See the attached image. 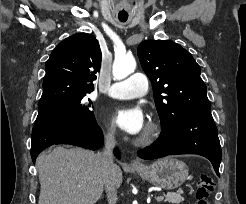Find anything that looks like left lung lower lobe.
Masks as SVG:
<instances>
[{"mask_svg":"<svg viewBox=\"0 0 246 204\" xmlns=\"http://www.w3.org/2000/svg\"><path fill=\"white\" fill-rule=\"evenodd\" d=\"M177 154L206 157L219 176L222 151L210 113L176 118L169 126L162 128L161 135L153 145L138 151L140 158L148 160Z\"/></svg>","mask_w":246,"mask_h":204,"instance_id":"1","label":"left lung lower lobe"}]
</instances>
